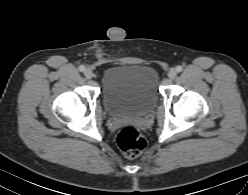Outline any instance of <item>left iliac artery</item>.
Returning a JSON list of instances; mask_svg holds the SVG:
<instances>
[{"instance_id": "left-iliac-artery-1", "label": "left iliac artery", "mask_w": 248, "mask_h": 195, "mask_svg": "<svg viewBox=\"0 0 248 195\" xmlns=\"http://www.w3.org/2000/svg\"><path fill=\"white\" fill-rule=\"evenodd\" d=\"M182 69H183L182 66H177V67H176V70H177L178 72H181Z\"/></svg>"}]
</instances>
